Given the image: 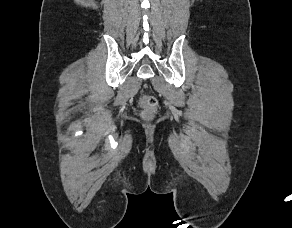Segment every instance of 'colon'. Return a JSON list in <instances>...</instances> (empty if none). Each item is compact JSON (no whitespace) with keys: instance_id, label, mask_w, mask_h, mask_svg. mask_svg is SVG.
I'll list each match as a JSON object with an SVG mask.
<instances>
[{"instance_id":"5ec220e1","label":"colon","mask_w":292,"mask_h":228,"mask_svg":"<svg viewBox=\"0 0 292 228\" xmlns=\"http://www.w3.org/2000/svg\"><path fill=\"white\" fill-rule=\"evenodd\" d=\"M141 107L143 109V116L146 118L151 117L157 108V99L154 96L145 95L141 98Z\"/></svg>"}]
</instances>
